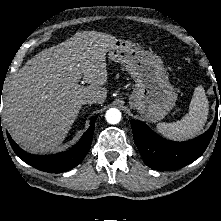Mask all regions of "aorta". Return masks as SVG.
Wrapping results in <instances>:
<instances>
[{"label":"aorta","mask_w":221,"mask_h":221,"mask_svg":"<svg viewBox=\"0 0 221 221\" xmlns=\"http://www.w3.org/2000/svg\"><path fill=\"white\" fill-rule=\"evenodd\" d=\"M106 120L109 124H117L121 120V112L116 108H110L106 112Z\"/></svg>","instance_id":"762f6f07"}]
</instances>
